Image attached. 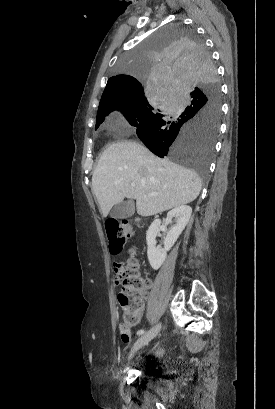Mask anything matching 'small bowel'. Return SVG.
<instances>
[{
    "label": "small bowel",
    "mask_w": 275,
    "mask_h": 409,
    "mask_svg": "<svg viewBox=\"0 0 275 409\" xmlns=\"http://www.w3.org/2000/svg\"><path fill=\"white\" fill-rule=\"evenodd\" d=\"M121 278H122V275L120 273H117L115 275L113 285L117 289L120 288L121 285H122L121 284ZM119 340H120V342H124L125 346H130L131 345V340H132V335L128 330H123L119 335Z\"/></svg>",
    "instance_id": "c3829d8e"
}]
</instances>
